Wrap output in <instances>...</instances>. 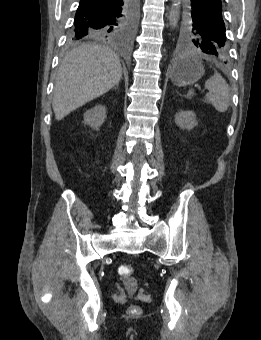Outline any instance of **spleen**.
I'll return each mask as SVG.
<instances>
[{
  "label": "spleen",
  "mask_w": 261,
  "mask_h": 340,
  "mask_svg": "<svg viewBox=\"0 0 261 340\" xmlns=\"http://www.w3.org/2000/svg\"><path fill=\"white\" fill-rule=\"evenodd\" d=\"M205 88L209 93L206 94V100L220 113L225 112L230 105V90L225 79L215 73L210 79L205 82ZM194 94L193 90H189L188 95Z\"/></svg>",
  "instance_id": "spleen-1"
}]
</instances>
